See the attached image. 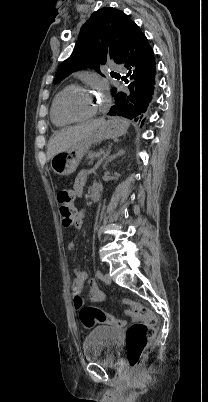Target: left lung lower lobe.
<instances>
[{
  "instance_id": "0a47b994",
  "label": "left lung lower lobe",
  "mask_w": 208,
  "mask_h": 402,
  "mask_svg": "<svg viewBox=\"0 0 208 402\" xmlns=\"http://www.w3.org/2000/svg\"><path fill=\"white\" fill-rule=\"evenodd\" d=\"M116 63L122 64L129 71L130 82L125 91L112 90L114 105L108 115L134 118L137 121L138 116L146 111L152 98L156 63L147 38L135 23L130 28ZM125 82L128 83L126 80Z\"/></svg>"
}]
</instances>
